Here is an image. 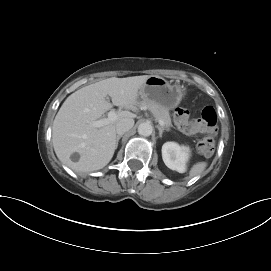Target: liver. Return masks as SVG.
<instances>
[{
	"instance_id": "1",
	"label": "liver",
	"mask_w": 271,
	"mask_h": 271,
	"mask_svg": "<svg viewBox=\"0 0 271 271\" xmlns=\"http://www.w3.org/2000/svg\"><path fill=\"white\" fill-rule=\"evenodd\" d=\"M149 75L127 78L111 77L72 93L62 104L52 126V142L58 159L75 172H92L104 168L116 147V124L135 114L121 111L118 118L100 128L90 125L113 105L136 110L139 89ZM110 96L112 104L106 100ZM77 152L80 158L70 157Z\"/></svg>"
}]
</instances>
